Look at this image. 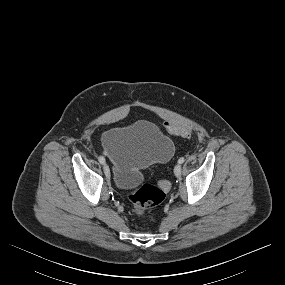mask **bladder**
<instances>
[{
	"instance_id": "bladder-1",
	"label": "bladder",
	"mask_w": 285,
	"mask_h": 285,
	"mask_svg": "<svg viewBox=\"0 0 285 285\" xmlns=\"http://www.w3.org/2000/svg\"><path fill=\"white\" fill-rule=\"evenodd\" d=\"M102 145L111 162L113 182L122 191L135 189L144 169L168 161L174 153L172 140L147 120L107 130Z\"/></svg>"
}]
</instances>
